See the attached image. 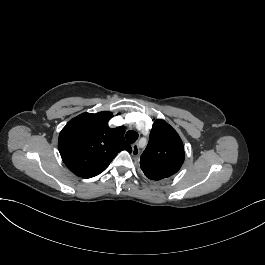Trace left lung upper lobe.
I'll return each instance as SVG.
<instances>
[{"instance_id": "obj_1", "label": "left lung upper lobe", "mask_w": 265, "mask_h": 265, "mask_svg": "<svg viewBox=\"0 0 265 265\" xmlns=\"http://www.w3.org/2000/svg\"><path fill=\"white\" fill-rule=\"evenodd\" d=\"M184 147L177 132L164 120H156L140 167L145 176L159 181L175 174L184 162Z\"/></svg>"}]
</instances>
